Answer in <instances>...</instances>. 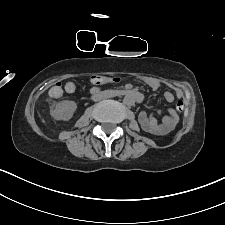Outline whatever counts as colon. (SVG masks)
I'll return each instance as SVG.
<instances>
[{"label": "colon", "mask_w": 225, "mask_h": 225, "mask_svg": "<svg viewBox=\"0 0 225 225\" xmlns=\"http://www.w3.org/2000/svg\"><path fill=\"white\" fill-rule=\"evenodd\" d=\"M118 77H107V76H102V75H96L91 78V82L94 85H101V84H106V83H117L119 82ZM65 91L69 94L76 93L79 90L78 85L75 82H67L65 87ZM63 93V87L60 83L55 84L51 90H50V96L53 98H59L62 96ZM184 102L182 100H179L176 104V108L178 111H183L184 110Z\"/></svg>", "instance_id": "colon-1"}]
</instances>
